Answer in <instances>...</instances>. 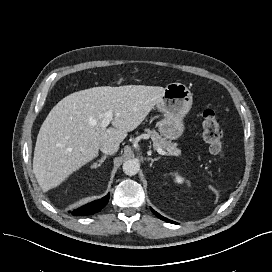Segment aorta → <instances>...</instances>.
Returning <instances> with one entry per match:
<instances>
[{
  "instance_id": "aorta-1",
  "label": "aorta",
  "mask_w": 272,
  "mask_h": 272,
  "mask_svg": "<svg viewBox=\"0 0 272 272\" xmlns=\"http://www.w3.org/2000/svg\"><path fill=\"white\" fill-rule=\"evenodd\" d=\"M122 168H123V172L126 175L133 176L138 173L139 168H140V164L135 159H129L123 163Z\"/></svg>"
}]
</instances>
